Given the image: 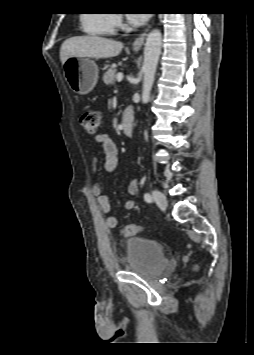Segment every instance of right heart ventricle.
I'll list each match as a JSON object with an SVG mask.
<instances>
[{"label": "right heart ventricle", "mask_w": 254, "mask_h": 355, "mask_svg": "<svg viewBox=\"0 0 254 355\" xmlns=\"http://www.w3.org/2000/svg\"><path fill=\"white\" fill-rule=\"evenodd\" d=\"M83 30L91 36H109L114 33L110 22V14L106 12H90L81 18Z\"/></svg>", "instance_id": "right-heart-ventricle-1"}]
</instances>
